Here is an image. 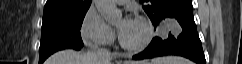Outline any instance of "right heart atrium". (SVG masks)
Here are the masks:
<instances>
[{"instance_id": "right-heart-atrium-1", "label": "right heart atrium", "mask_w": 242, "mask_h": 64, "mask_svg": "<svg viewBox=\"0 0 242 64\" xmlns=\"http://www.w3.org/2000/svg\"><path fill=\"white\" fill-rule=\"evenodd\" d=\"M79 33L81 39L93 46H106L113 43L115 33L94 7L84 14Z\"/></svg>"}]
</instances>
